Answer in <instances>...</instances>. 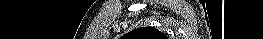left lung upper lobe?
I'll use <instances>...</instances> for the list:
<instances>
[{
	"instance_id": "obj_1",
	"label": "left lung upper lobe",
	"mask_w": 263,
	"mask_h": 39,
	"mask_svg": "<svg viewBox=\"0 0 263 39\" xmlns=\"http://www.w3.org/2000/svg\"><path fill=\"white\" fill-rule=\"evenodd\" d=\"M123 39H167L159 30L152 27L135 29L122 37Z\"/></svg>"
}]
</instances>
